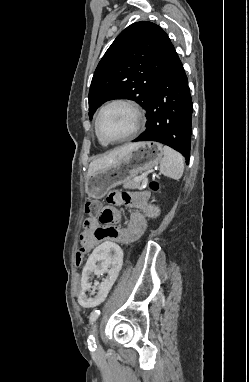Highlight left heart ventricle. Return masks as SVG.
Masks as SVG:
<instances>
[{"label":"left heart ventricle","instance_id":"obj_1","mask_svg":"<svg viewBox=\"0 0 249 382\" xmlns=\"http://www.w3.org/2000/svg\"><path fill=\"white\" fill-rule=\"evenodd\" d=\"M132 112L121 105L106 109L99 122L102 136L106 139H114L127 135L133 128Z\"/></svg>","mask_w":249,"mask_h":382}]
</instances>
